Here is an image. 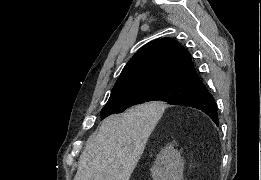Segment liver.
I'll list each match as a JSON object with an SVG mask.
<instances>
[{"label": "liver", "instance_id": "1", "mask_svg": "<svg viewBox=\"0 0 261 180\" xmlns=\"http://www.w3.org/2000/svg\"><path fill=\"white\" fill-rule=\"evenodd\" d=\"M160 102L141 104L103 120L90 136L74 180H130L157 124Z\"/></svg>", "mask_w": 261, "mask_h": 180}]
</instances>
